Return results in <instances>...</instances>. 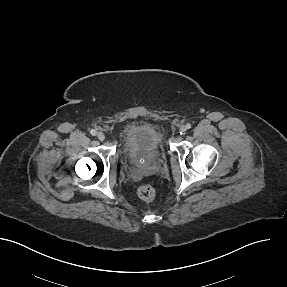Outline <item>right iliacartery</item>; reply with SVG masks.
Instances as JSON below:
<instances>
[{
  "instance_id": "right-iliac-artery-1",
  "label": "right iliac artery",
  "mask_w": 287,
  "mask_h": 287,
  "mask_svg": "<svg viewBox=\"0 0 287 287\" xmlns=\"http://www.w3.org/2000/svg\"><path fill=\"white\" fill-rule=\"evenodd\" d=\"M90 133H91V135H93V136H95V135L97 134L96 130H94V129H92V130L90 131Z\"/></svg>"
}]
</instances>
